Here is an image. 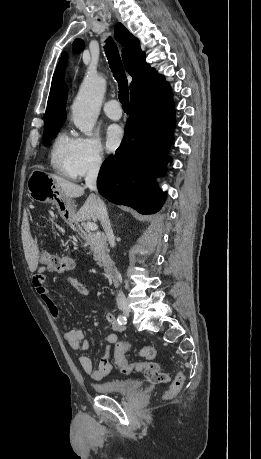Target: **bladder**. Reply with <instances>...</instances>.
<instances>
[{
  "instance_id": "bladder-1",
  "label": "bladder",
  "mask_w": 261,
  "mask_h": 459,
  "mask_svg": "<svg viewBox=\"0 0 261 459\" xmlns=\"http://www.w3.org/2000/svg\"><path fill=\"white\" fill-rule=\"evenodd\" d=\"M93 388L101 394L126 395L138 391L141 388V381L138 379H113L95 383Z\"/></svg>"
}]
</instances>
